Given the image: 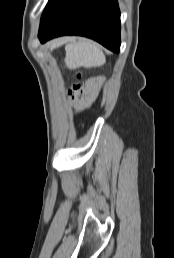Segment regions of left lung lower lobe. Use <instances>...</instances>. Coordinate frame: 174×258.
<instances>
[{
	"instance_id": "1",
	"label": "left lung lower lobe",
	"mask_w": 174,
	"mask_h": 258,
	"mask_svg": "<svg viewBox=\"0 0 174 258\" xmlns=\"http://www.w3.org/2000/svg\"><path fill=\"white\" fill-rule=\"evenodd\" d=\"M92 38L120 51V11L117 0H58L40 24L41 42L62 36Z\"/></svg>"
}]
</instances>
